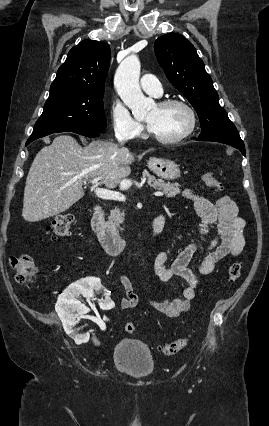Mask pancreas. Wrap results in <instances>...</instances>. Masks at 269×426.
I'll return each mask as SVG.
<instances>
[{"instance_id":"1","label":"pancreas","mask_w":269,"mask_h":426,"mask_svg":"<svg viewBox=\"0 0 269 426\" xmlns=\"http://www.w3.org/2000/svg\"><path fill=\"white\" fill-rule=\"evenodd\" d=\"M147 177V182L150 187H153L156 190L163 191L166 194V197L173 198L180 193L179 184L177 183H165L162 179H156L154 176L146 173L144 174ZM124 212H121L120 209H112L108 222L114 226L119 227L124 220Z\"/></svg>"}]
</instances>
